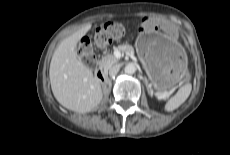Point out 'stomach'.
Returning a JSON list of instances; mask_svg holds the SVG:
<instances>
[{
    "label": "stomach",
    "mask_w": 230,
    "mask_h": 155,
    "mask_svg": "<svg viewBox=\"0 0 230 155\" xmlns=\"http://www.w3.org/2000/svg\"><path fill=\"white\" fill-rule=\"evenodd\" d=\"M135 48L152 87L164 93L176 85L187 70V55L175 37L163 32L139 34Z\"/></svg>",
    "instance_id": "0dacf381"
}]
</instances>
